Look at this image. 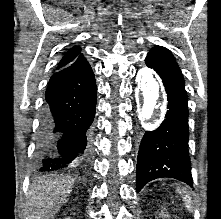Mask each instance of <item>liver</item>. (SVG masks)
I'll return each instance as SVG.
<instances>
[{"label": "liver", "instance_id": "1", "mask_svg": "<svg viewBox=\"0 0 221 219\" xmlns=\"http://www.w3.org/2000/svg\"><path fill=\"white\" fill-rule=\"evenodd\" d=\"M75 180L72 177L43 178L30 187L27 195V214L30 219H54L66 201Z\"/></svg>", "mask_w": 221, "mask_h": 219}]
</instances>
